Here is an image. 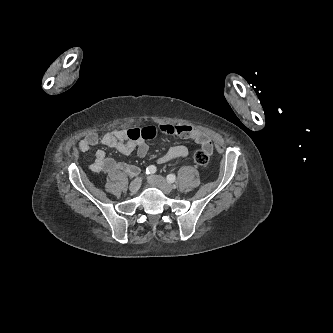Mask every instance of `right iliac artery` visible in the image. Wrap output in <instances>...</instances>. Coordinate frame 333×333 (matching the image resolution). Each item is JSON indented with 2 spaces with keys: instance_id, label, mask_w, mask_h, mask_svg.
I'll list each match as a JSON object with an SVG mask.
<instances>
[{
  "instance_id": "1",
  "label": "right iliac artery",
  "mask_w": 333,
  "mask_h": 333,
  "mask_svg": "<svg viewBox=\"0 0 333 333\" xmlns=\"http://www.w3.org/2000/svg\"><path fill=\"white\" fill-rule=\"evenodd\" d=\"M156 172V167L154 165H150L146 169V174H154Z\"/></svg>"
}]
</instances>
